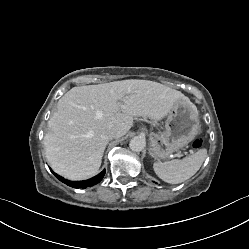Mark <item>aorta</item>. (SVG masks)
Listing matches in <instances>:
<instances>
[{
    "label": "aorta",
    "instance_id": "aorta-1",
    "mask_svg": "<svg viewBox=\"0 0 249 249\" xmlns=\"http://www.w3.org/2000/svg\"><path fill=\"white\" fill-rule=\"evenodd\" d=\"M146 146L144 137L136 136L130 140L129 147L134 152H141Z\"/></svg>",
    "mask_w": 249,
    "mask_h": 249
}]
</instances>
